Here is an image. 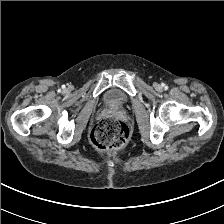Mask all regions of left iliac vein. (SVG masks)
<instances>
[{"label": "left iliac vein", "mask_w": 224, "mask_h": 224, "mask_svg": "<svg viewBox=\"0 0 224 224\" xmlns=\"http://www.w3.org/2000/svg\"><path fill=\"white\" fill-rule=\"evenodd\" d=\"M154 87H155V89L157 90V91H162V86L160 85V84H155L154 85Z\"/></svg>", "instance_id": "1"}]
</instances>
